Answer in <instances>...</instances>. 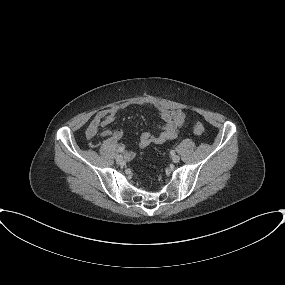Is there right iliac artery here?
I'll list each match as a JSON object with an SVG mask.
<instances>
[{
	"label": "right iliac artery",
	"instance_id": "right-iliac-artery-1",
	"mask_svg": "<svg viewBox=\"0 0 285 285\" xmlns=\"http://www.w3.org/2000/svg\"><path fill=\"white\" fill-rule=\"evenodd\" d=\"M118 151H119V152H123L124 150H123V149H119Z\"/></svg>",
	"mask_w": 285,
	"mask_h": 285
}]
</instances>
